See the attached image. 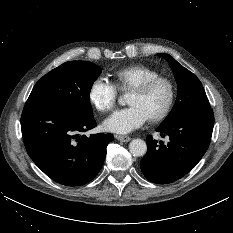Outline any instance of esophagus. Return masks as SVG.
<instances>
[{
  "mask_svg": "<svg viewBox=\"0 0 233 233\" xmlns=\"http://www.w3.org/2000/svg\"><path fill=\"white\" fill-rule=\"evenodd\" d=\"M115 138L121 142H129L131 140V137L122 135H116Z\"/></svg>",
  "mask_w": 233,
  "mask_h": 233,
  "instance_id": "34e87169",
  "label": "esophagus"
}]
</instances>
